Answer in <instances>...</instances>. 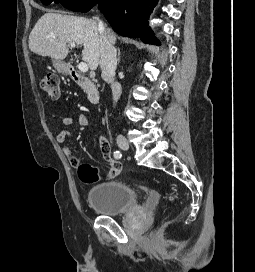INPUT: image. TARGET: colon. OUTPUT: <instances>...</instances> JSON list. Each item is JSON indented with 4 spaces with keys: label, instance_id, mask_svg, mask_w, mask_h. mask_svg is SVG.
Returning a JSON list of instances; mask_svg holds the SVG:
<instances>
[{
    "label": "colon",
    "instance_id": "1",
    "mask_svg": "<svg viewBox=\"0 0 255 272\" xmlns=\"http://www.w3.org/2000/svg\"><path fill=\"white\" fill-rule=\"evenodd\" d=\"M42 90L51 98L57 99L59 97V76L56 73L45 74L40 82ZM79 178L85 183H92L98 177L97 168L89 165L82 164L78 167ZM167 198L170 203H175L176 195L174 192H169Z\"/></svg>",
    "mask_w": 255,
    "mask_h": 272
}]
</instances>
